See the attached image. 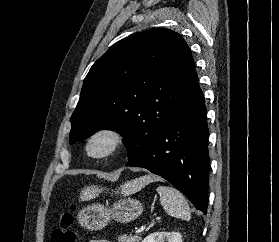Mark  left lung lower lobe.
<instances>
[{
    "label": "left lung lower lobe",
    "mask_w": 279,
    "mask_h": 242,
    "mask_svg": "<svg viewBox=\"0 0 279 242\" xmlns=\"http://www.w3.org/2000/svg\"><path fill=\"white\" fill-rule=\"evenodd\" d=\"M208 126L197 74L180 104L149 147L126 166L146 168L177 187L206 213L209 181Z\"/></svg>",
    "instance_id": "1"
}]
</instances>
